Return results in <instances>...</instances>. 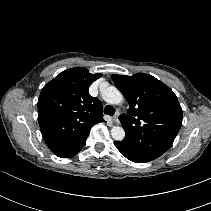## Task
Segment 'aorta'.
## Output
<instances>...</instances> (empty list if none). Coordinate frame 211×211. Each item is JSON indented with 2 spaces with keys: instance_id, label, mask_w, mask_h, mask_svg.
<instances>
[{
  "instance_id": "1",
  "label": "aorta",
  "mask_w": 211,
  "mask_h": 211,
  "mask_svg": "<svg viewBox=\"0 0 211 211\" xmlns=\"http://www.w3.org/2000/svg\"><path fill=\"white\" fill-rule=\"evenodd\" d=\"M102 98L109 104H120L123 101L122 93L114 86H107L101 92ZM111 136L116 141H122L125 138V131L122 127L114 126L111 128Z\"/></svg>"
}]
</instances>
